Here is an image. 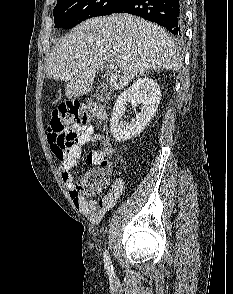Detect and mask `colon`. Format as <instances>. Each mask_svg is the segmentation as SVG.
I'll return each mask as SVG.
<instances>
[{
    "label": "colon",
    "mask_w": 233,
    "mask_h": 294,
    "mask_svg": "<svg viewBox=\"0 0 233 294\" xmlns=\"http://www.w3.org/2000/svg\"><path fill=\"white\" fill-rule=\"evenodd\" d=\"M91 121L84 104L67 102L54 110L48 125V142L54 155L61 161L66 157L69 148L74 144L75 134L71 129L76 125H87ZM107 160L100 166L106 167ZM106 173L102 170H91L77 182L76 191L79 195L89 197L97 194L105 185Z\"/></svg>",
    "instance_id": "1"
}]
</instances>
